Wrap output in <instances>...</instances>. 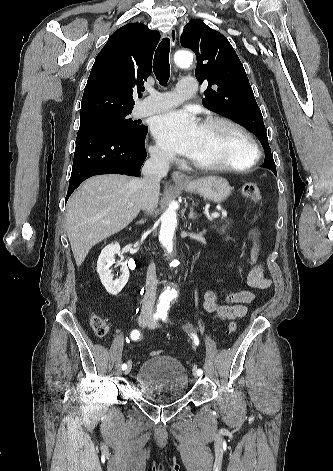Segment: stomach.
<instances>
[{"mask_svg":"<svg viewBox=\"0 0 333 471\" xmlns=\"http://www.w3.org/2000/svg\"><path fill=\"white\" fill-rule=\"evenodd\" d=\"M178 186L188 193L198 194L215 203L224 202L232 191L228 181L219 176H206Z\"/></svg>","mask_w":333,"mask_h":471,"instance_id":"stomach-1","label":"stomach"}]
</instances>
